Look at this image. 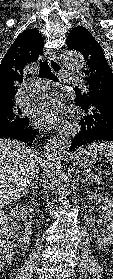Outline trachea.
<instances>
[{
	"label": "trachea",
	"mask_w": 113,
	"mask_h": 279,
	"mask_svg": "<svg viewBox=\"0 0 113 279\" xmlns=\"http://www.w3.org/2000/svg\"><path fill=\"white\" fill-rule=\"evenodd\" d=\"M39 77L40 78H49L50 80H52L54 82H59V79L57 78V76H55L51 72L47 60H40Z\"/></svg>",
	"instance_id": "1"
}]
</instances>
